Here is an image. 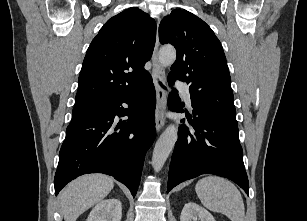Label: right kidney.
I'll use <instances>...</instances> for the list:
<instances>
[{
    "label": "right kidney",
    "instance_id": "1",
    "mask_svg": "<svg viewBox=\"0 0 307 221\" xmlns=\"http://www.w3.org/2000/svg\"><path fill=\"white\" fill-rule=\"evenodd\" d=\"M122 204L111 198L99 202L90 212L86 221H121Z\"/></svg>",
    "mask_w": 307,
    "mask_h": 221
}]
</instances>
